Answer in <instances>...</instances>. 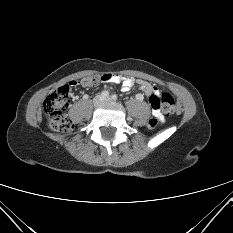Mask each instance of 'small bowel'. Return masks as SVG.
<instances>
[{"label":"small bowel","mask_w":233,"mask_h":233,"mask_svg":"<svg viewBox=\"0 0 233 233\" xmlns=\"http://www.w3.org/2000/svg\"><path fill=\"white\" fill-rule=\"evenodd\" d=\"M97 80H100L103 83H106V82L121 83L122 91L124 92L129 91L135 83H138L141 86L144 94L149 96V100H151V98L153 97H158L160 94L158 88L155 85L149 82H146V81H142V80L135 81L132 78L123 77L119 75H113V74L97 75ZM84 83L85 82L83 79L74 78V79L69 80L67 84L70 88H75V87L77 88V87H83ZM136 98L137 100H142L144 98V95L142 93H138L136 95ZM152 113H153V116L158 120V123L164 122V117L161 111L157 107L152 106Z\"/></svg>","instance_id":"1"}]
</instances>
